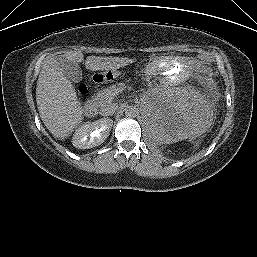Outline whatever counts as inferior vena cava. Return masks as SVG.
Here are the masks:
<instances>
[{
    "label": "inferior vena cava",
    "mask_w": 257,
    "mask_h": 257,
    "mask_svg": "<svg viewBox=\"0 0 257 257\" xmlns=\"http://www.w3.org/2000/svg\"><path fill=\"white\" fill-rule=\"evenodd\" d=\"M117 109H118L117 103H108L101 108L100 114L102 116H111L117 111Z\"/></svg>",
    "instance_id": "obj_1"
}]
</instances>
